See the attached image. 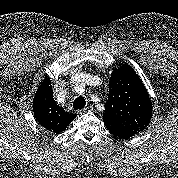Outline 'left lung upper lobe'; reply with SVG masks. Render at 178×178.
<instances>
[{
    "mask_svg": "<svg viewBox=\"0 0 178 178\" xmlns=\"http://www.w3.org/2000/svg\"><path fill=\"white\" fill-rule=\"evenodd\" d=\"M151 117L149 94L134 69L127 65L114 71L103 113L105 126L139 133L146 129Z\"/></svg>",
    "mask_w": 178,
    "mask_h": 178,
    "instance_id": "left-lung-upper-lobe-1",
    "label": "left lung upper lobe"
}]
</instances>
